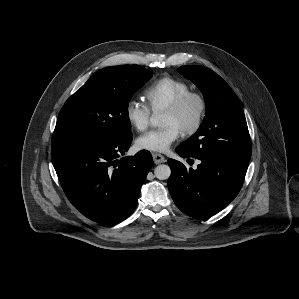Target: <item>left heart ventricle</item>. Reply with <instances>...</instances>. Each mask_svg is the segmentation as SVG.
<instances>
[{"label": "left heart ventricle", "instance_id": "b2bd125f", "mask_svg": "<svg viewBox=\"0 0 299 299\" xmlns=\"http://www.w3.org/2000/svg\"><path fill=\"white\" fill-rule=\"evenodd\" d=\"M197 109V103L195 101H192L187 105L184 112L180 115H173L164 112L162 124L164 126L175 125L180 129L183 125L190 123L194 119L197 113Z\"/></svg>", "mask_w": 299, "mask_h": 299}]
</instances>
